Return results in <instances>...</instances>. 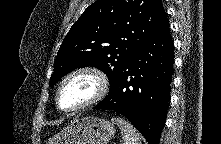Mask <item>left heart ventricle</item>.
<instances>
[{
    "label": "left heart ventricle",
    "instance_id": "obj_1",
    "mask_svg": "<svg viewBox=\"0 0 221 144\" xmlns=\"http://www.w3.org/2000/svg\"><path fill=\"white\" fill-rule=\"evenodd\" d=\"M97 90L96 80L89 75H79L70 79L60 94V105L72 108L88 101Z\"/></svg>",
    "mask_w": 221,
    "mask_h": 144
}]
</instances>
